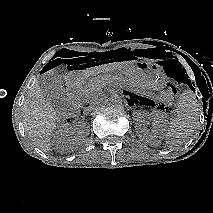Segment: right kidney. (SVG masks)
<instances>
[{"label":"right kidney","mask_w":213,"mask_h":213,"mask_svg":"<svg viewBox=\"0 0 213 213\" xmlns=\"http://www.w3.org/2000/svg\"><path fill=\"white\" fill-rule=\"evenodd\" d=\"M74 129L77 130V133L80 135V140L82 142L85 140L86 136L88 135V131L86 129V123L79 122L78 124L74 125Z\"/></svg>","instance_id":"1"}]
</instances>
